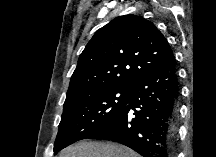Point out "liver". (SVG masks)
Instances as JSON below:
<instances>
[{
    "instance_id": "6515ba94",
    "label": "liver",
    "mask_w": 216,
    "mask_h": 157,
    "mask_svg": "<svg viewBox=\"0 0 216 157\" xmlns=\"http://www.w3.org/2000/svg\"><path fill=\"white\" fill-rule=\"evenodd\" d=\"M59 157H139L128 147L112 142H81L64 149Z\"/></svg>"
}]
</instances>
